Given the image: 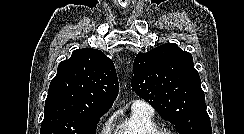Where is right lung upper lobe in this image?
<instances>
[{
    "mask_svg": "<svg viewBox=\"0 0 244 134\" xmlns=\"http://www.w3.org/2000/svg\"><path fill=\"white\" fill-rule=\"evenodd\" d=\"M118 91L113 62L100 50L77 49L59 64L45 106L60 105L88 115H103Z\"/></svg>",
    "mask_w": 244,
    "mask_h": 134,
    "instance_id": "obj_1",
    "label": "right lung upper lobe"
}]
</instances>
